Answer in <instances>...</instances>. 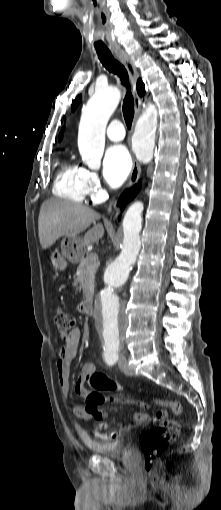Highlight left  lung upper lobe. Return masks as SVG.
Here are the masks:
<instances>
[{
	"mask_svg": "<svg viewBox=\"0 0 221 510\" xmlns=\"http://www.w3.org/2000/svg\"><path fill=\"white\" fill-rule=\"evenodd\" d=\"M80 102H81V96H78V97L75 99V101L73 102V104H72V110H73V111L77 108V106H78V104H79Z\"/></svg>",
	"mask_w": 221,
	"mask_h": 510,
	"instance_id": "1",
	"label": "left lung upper lobe"
}]
</instances>
